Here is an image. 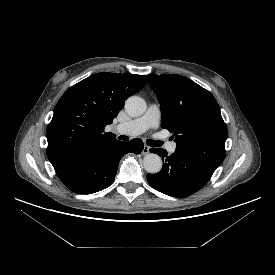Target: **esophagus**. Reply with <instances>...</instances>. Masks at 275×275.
Listing matches in <instances>:
<instances>
[{
	"label": "esophagus",
	"mask_w": 275,
	"mask_h": 275,
	"mask_svg": "<svg viewBox=\"0 0 275 275\" xmlns=\"http://www.w3.org/2000/svg\"><path fill=\"white\" fill-rule=\"evenodd\" d=\"M148 153H150V147L147 146V145H144V148L142 150V154L146 155Z\"/></svg>",
	"instance_id": "1"
}]
</instances>
